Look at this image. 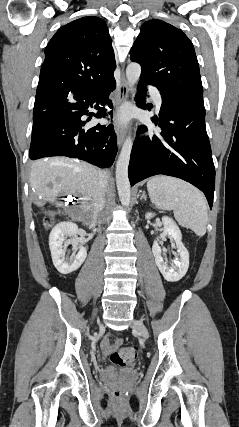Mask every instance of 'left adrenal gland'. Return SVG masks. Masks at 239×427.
I'll return each mask as SVG.
<instances>
[{
    "instance_id": "left-adrenal-gland-1",
    "label": "left adrenal gland",
    "mask_w": 239,
    "mask_h": 427,
    "mask_svg": "<svg viewBox=\"0 0 239 427\" xmlns=\"http://www.w3.org/2000/svg\"><path fill=\"white\" fill-rule=\"evenodd\" d=\"M142 199H144L145 201L147 200V197H146V195H145V192H144V191L142 192V195H141V197H140V200H142Z\"/></svg>"
}]
</instances>
